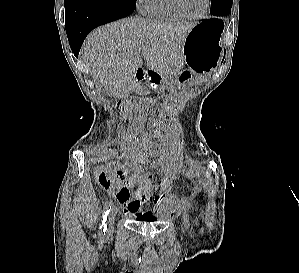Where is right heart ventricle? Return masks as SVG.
<instances>
[{"mask_svg": "<svg viewBox=\"0 0 299 273\" xmlns=\"http://www.w3.org/2000/svg\"><path fill=\"white\" fill-rule=\"evenodd\" d=\"M142 11L151 18L165 21H178L185 18L176 10L172 0H145Z\"/></svg>", "mask_w": 299, "mask_h": 273, "instance_id": "1", "label": "right heart ventricle"}]
</instances>
